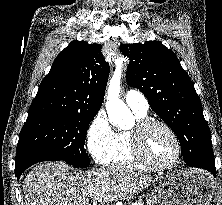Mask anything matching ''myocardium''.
Wrapping results in <instances>:
<instances>
[{
    "instance_id": "f54148a6",
    "label": "myocardium",
    "mask_w": 222,
    "mask_h": 205,
    "mask_svg": "<svg viewBox=\"0 0 222 205\" xmlns=\"http://www.w3.org/2000/svg\"><path fill=\"white\" fill-rule=\"evenodd\" d=\"M163 128L173 139L176 152L174 159L168 164H159L153 161L147 154L144 147V137L146 132L152 127ZM130 136L132 140V146L135 156L142 163L154 170L167 171L173 169L179 163L182 154V148L180 140L176 132L167 123L157 119L144 118L139 120L136 125L130 130Z\"/></svg>"
}]
</instances>
